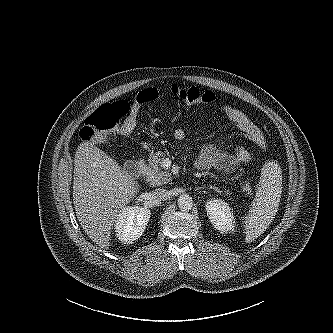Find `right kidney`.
Here are the masks:
<instances>
[{"instance_id":"obj_1","label":"right kidney","mask_w":333,"mask_h":333,"mask_svg":"<svg viewBox=\"0 0 333 333\" xmlns=\"http://www.w3.org/2000/svg\"><path fill=\"white\" fill-rule=\"evenodd\" d=\"M150 214V209L147 207H125L115 220L117 238L124 244L136 241L145 231Z\"/></svg>"}]
</instances>
